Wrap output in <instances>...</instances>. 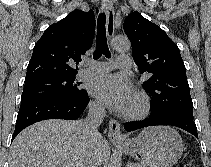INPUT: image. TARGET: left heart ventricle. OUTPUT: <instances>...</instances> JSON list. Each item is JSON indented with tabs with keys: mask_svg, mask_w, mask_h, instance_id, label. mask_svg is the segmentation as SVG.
I'll list each match as a JSON object with an SVG mask.
<instances>
[{
	"mask_svg": "<svg viewBox=\"0 0 211 167\" xmlns=\"http://www.w3.org/2000/svg\"><path fill=\"white\" fill-rule=\"evenodd\" d=\"M132 108H133V104H132V101H131V104L129 105L127 110H131Z\"/></svg>",
	"mask_w": 211,
	"mask_h": 167,
	"instance_id": "obj_1",
	"label": "left heart ventricle"
}]
</instances>
